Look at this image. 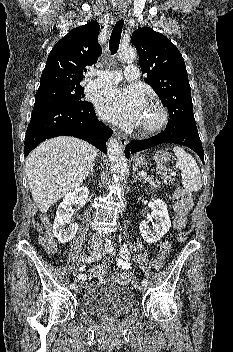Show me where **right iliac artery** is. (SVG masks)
Segmentation results:
<instances>
[{"mask_svg": "<svg viewBox=\"0 0 233 352\" xmlns=\"http://www.w3.org/2000/svg\"><path fill=\"white\" fill-rule=\"evenodd\" d=\"M108 249H109V247H106V246H105V249H104L103 251H100V252H98V253H96V254H92V255H83V256L81 257V260H82L83 262H87V263H91V262H94V261H96V260H99V259H101V257H102L105 253H107ZM70 288H71V289H75V288H76V285H75L74 283H72V284L70 285Z\"/></svg>", "mask_w": 233, "mask_h": 352, "instance_id": "82829eb1", "label": "right iliac artery"}]
</instances>
